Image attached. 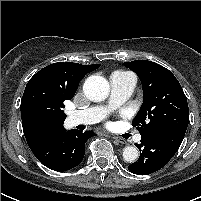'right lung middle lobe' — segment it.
Returning <instances> with one entry per match:
<instances>
[{
	"label": "right lung middle lobe",
	"mask_w": 201,
	"mask_h": 201,
	"mask_svg": "<svg viewBox=\"0 0 201 201\" xmlns=\"http://www.w3.org/2000/svg\"><path fill=\"white\" fill-rule=\"evenodd\" d=\"M70 100L62 91L54 86L36 81L30 84L22 98L24 109L44 119L66 118L62 108L64 101Z\"/></svg>",
	"instance_id": "1"
}]
</instances>
